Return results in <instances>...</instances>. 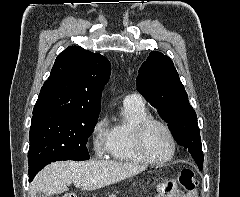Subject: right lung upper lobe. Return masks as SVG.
I'll return each instance as SVG.
<instances>
[{
	"label": "right lung upper lobe",
	"instance_id": "obj_1",
	"mask_svg": "<svg viewBox=\"0 0 240 197\" xmlns=\"http://www.w3.org/2000/svg\"><path fill=\"white\" fill-rule=\"evenodd\" d=\"M109 76L106 57L78 46L68 47L57 56L33 114H99L101 92Z\"/></svg>",
	"mask_w": 240,
	"mask_h": 197
}]
</instances>
